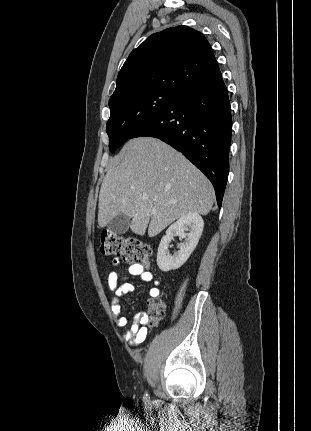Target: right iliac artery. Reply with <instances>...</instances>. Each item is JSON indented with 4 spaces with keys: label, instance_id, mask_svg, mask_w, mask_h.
I'll return each mask as SVG.
<instances>
[{
    "label": "right iliac artery",
    "instance_id": "right-iliac-artery-1",
    "mask_svg": "<svg viewBox=\"0 0 311 431\" xmlns=\"http://www.w3.org/2000/svg\"><path fill=\"white\" fill-rule=\"evenodd\" d=\"M147 397H148V394H145V395H144V398H145V399H147Z\"/></svg>",
    "mask_w": 311,
    "mask_h": 431
}]
</instances>
